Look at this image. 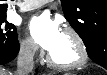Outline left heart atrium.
<instances>
[{
  "mask_svg": "<svg viewBox=\"0 0 107 75\" xmlns=\"http://www.w3.org/2000/svg\"><path fill=\"white\" fill-rule=\"evenodd\" d=\"M29 31L33 39L50 53L55 49L62 35L58 22L47 12L30 20Z\"/></svg>",
  "mask_w": 107,
  "mask_h": 75,
  "instance_id": "left-heart-atrium-1",
  "label": "left heart atrium"
}]
</instances>
